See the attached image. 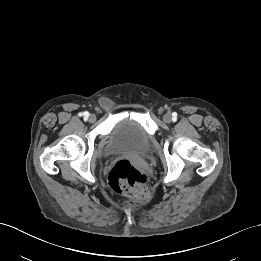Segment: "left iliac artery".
Returning <instances> with one entry per match:
<instances>
[{
	"mask_svg": "<svg viewBox=\"0 0 261 261\" xmlns=\"http://www.w3.org/2000/svg\"><path fill=\"white\" fill-rule=\"evenodd\" d=\"M173 116H174V118H176V114L175 113L173 114Z\"/></svg>",
	"mask_w": 261,
	"mask_h": 261,
	"instance_id": "obj_1",
	"label": "left iliac artery"
}]
</instances>
